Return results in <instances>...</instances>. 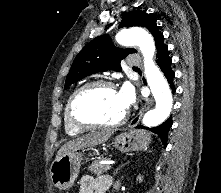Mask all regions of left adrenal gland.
<instances>
[{"instance_id":"obj_1","label":"left adrenal gland","mask_w":221,"mask_h":193,"mask_svg":"<svg viewBox=\"0 0 221 193\" xmlns=\"http://www.w3.org/2000/svg\"><path fill=\"white\" fill-rule=\"evenodd\" d=\"M128 163H129V161L126 162L125 164L120 165V166L115 170V172L113 173V176L115 177V176L117 175L118 171H119L122 167H124L126 164H128Z\"/></svg>"}]
</instances>
